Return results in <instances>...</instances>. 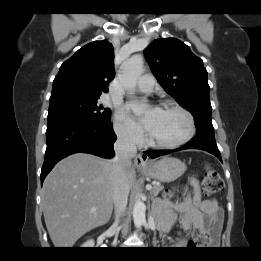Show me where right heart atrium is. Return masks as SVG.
Returning <instances> with one entry per match:
<instances>
[{
	"label": "right heart atrium",
	"instance_id": "obj_1",
	"mask_svg": "<svg viewBox=\"0 0 261 261\" xmlns=\"http://www.w3.org/2000/svg\"><path fill=\"white\" fill-rule=\"evenodd\" d=\"M114 130L121 142L127 145H137L142 139V133L139 128L127 117V115L118 109L114 115Z\"/></svg>",
	"mask_w": 261,
	"mask_h": 261
}]
</instances>
